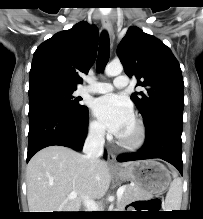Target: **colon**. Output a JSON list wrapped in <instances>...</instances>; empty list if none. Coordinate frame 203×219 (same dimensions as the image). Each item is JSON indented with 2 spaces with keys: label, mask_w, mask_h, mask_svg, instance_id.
<instances>
[{
  "label": "colon",
  "mask_w": 203,
  "mask_h": 219,
  "mask_svg": "<svg viewBox=\"0 0 203 219\" xmlns=\"http://www.w3.org/2000/svg\"><path fill=\"white\" fill-rule=\"evenodd\" d=\"M161 206V200L159 198H153L147 202V207L153 210H158Z\"/></svg>",
  "instance_id": "colon-1"
}]
</instances>
